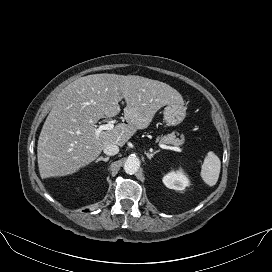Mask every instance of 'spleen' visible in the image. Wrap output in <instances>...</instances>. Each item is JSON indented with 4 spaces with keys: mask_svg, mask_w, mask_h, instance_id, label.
Masks as SVG:
<instances>
[{
    "mask_svg": "<svg viewBox=\"0 0 272 272\" xmlns=\"http://www.w3.org/2000/svg\"><path fill=\"white\" fill-rule=\"evenodd\" d=\"M220 168L219 157L214 152L209 151L201 168L200 175L203 181L209 186H214L218 181Z\"/></svg>",
    "mask_w": 272,
    "mask_h": 272,
    "instance_id": "1",
    "label": "spleen"
}]
</instances>
